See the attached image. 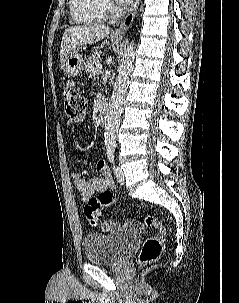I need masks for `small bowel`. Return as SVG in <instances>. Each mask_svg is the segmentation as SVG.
<instances>
[{"instance_id": "c3829d8e", "label": "small bowel", "mask_w": 239, "mask_h": 303, "mask_svg": "<svg viewBox=\"0 0 239 303\" xmlns=\"http://www.w3.org/2000/svg\"><path fill=\"white\" fill-rule=\"evenodd\" d=\"M82 120L83 117L75 120H68L67 124L71 125L74 122H80ZM96 171L100 176L92 179H86L84 177L85 171H74L72 173L75 186L79 190L83 202L88 201L96 192L114 189V183L106 163L103 161L98 162L96 164ZM102 228L106 232L118 234L122 231L135 230L138 228V225L131 219L126 220L123 224L113 220H107L102 224Z\"/></svg>"}]
</instances>
